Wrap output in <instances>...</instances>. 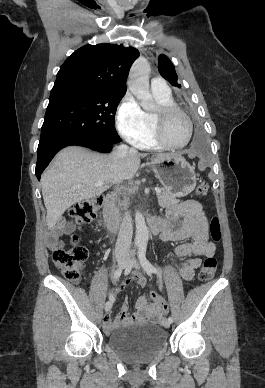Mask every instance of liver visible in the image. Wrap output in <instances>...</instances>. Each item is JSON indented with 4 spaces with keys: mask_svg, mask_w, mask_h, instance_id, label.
<instances>
[{
    "mask_svg": "<svg viewBox=\"0 0 265 388\" xmlns=\"http://www.w3.org/2000/svg\"><path fill=\"white\" fill-rule=\"evenodd\" d=\"M140 156L134 148L118 162L113 154H94L87 148L68 146L58 152L54 162L41 176L42 196L47 210L48 230H54L65 210L76 202L101 196L110 184L132 180L139 166ZM156 156H181V154H156ZM104 182L103 186H92Z\"/></svg>",
    "mask_w": 265,
    "mask_h": 388,
    "instance_id": "1",
    "label": "liver"
}]
</instances>
